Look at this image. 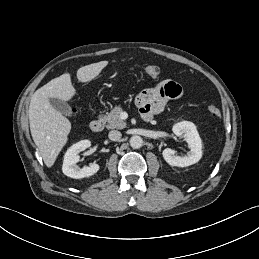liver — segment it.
Wrapping results in <instances>:
<instances>
[{"mask_svg":"<svg viewBox=\"0 0 259 259\" xmlns=\"http://www.w3.org/2000/svg\"><path fill=\"white\" fill-rule=\"evenodd\" d=\"M108 61H100L83 66L77 71L80 82H89L97 77ZM76 94L69 73L52 79L36 90L29 106L30 131L34 143L47 167H51L67 143L71 130L70 121L50 104L49 99L69 101Z\"/></svg>","mask_w":259,"mask_h":259,"instance_id":"6515ba94","label":"liver"}]
</instances>
